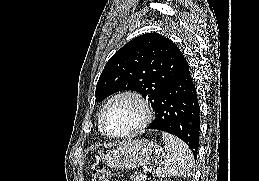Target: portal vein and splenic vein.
<instances>
[{
  "label": "portal vein and splenic vein",
  "instance_id": "obj_1",
  "mask_svg": "<svg viewBox=\"0 0 259 181\" xmlns=\"http://www.w3.org/2000/svg\"><path fill=\"white\" fill-rule=\"evenodd\" d=\"M148 170H149V169H148L146 166L143 167V171H144V172H147Z\"/></svg>",
  "mask_w": 259,
  "mask_h": 181
}]
</instances>
